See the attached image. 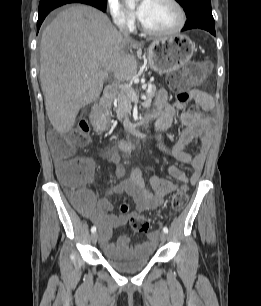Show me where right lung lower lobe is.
<instances>
[{
	"mask_svg": "<svg viewBox=\"0 0 261 306\" xmlns=\"http://www.w3.org/2000/svg\"><path fill=\"white\" fill-rule=\"evenodd\" d=\"M67 3H84L88 5H92L103 12L106 11V7H102L101 5L89 2V1H78V0H40L39 3V17L37 21V31L39 30L42 22L44 21L45 17L55 8L62 6Z\"/></svg>",
	"mask_w": 261,
	"mask_h": 306,
	"instance_id": "obj_1",
	"label": "right lung lower lobe"
}]
</instances>
